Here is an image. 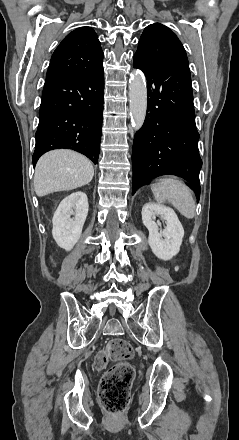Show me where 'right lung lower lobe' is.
<instances>
[{"mask_svg":"<svg viewBox=\"0 0 239 440\" xmlns=\"http://www.w3.org/2000/svg\"><path fill=\"white\" fill-rule=\"evenodd\" d=\"M103 68L89 75L46 78L33 164L47 151L67 148L98 163L103 114Z\"/></svg>","mask_w":239,"mask_h":440,"instance_id":"obj_1","label":"right lung lower lobe"}]
</instances>
